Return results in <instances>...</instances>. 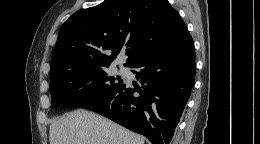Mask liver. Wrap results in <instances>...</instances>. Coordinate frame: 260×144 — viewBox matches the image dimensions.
Listing matches in <instances>:
<instances>
[{"label":"liver","mask_w":260,"mask_h":144,"mask_svg":"<svg viewBox=\"0 0 260 144\" xmlns=\"http://www.w3.org/2000/svg\"><path fill=\"white\" fill-rule=\"evenodd\" d=\"M50 144H144V139L124 127L85 110H77L54 121Z\"/></svg>","instance_id":"liver-1"}]
</instances>
